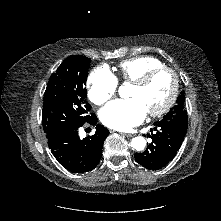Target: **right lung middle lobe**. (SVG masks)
<instances>
[{
    "mask_svg": "<svg viewBox=\"0 0 221 221\" xmlns=\"http://www.w3.org/2000/svg\"><path fill=\"white\" fill-rule=\"evenodd\" d=\"M90 59L66 58L48 81L43 98L42 123L47 137L84 124L93 115L86 101Z\"/></svg>",
    "mask_w": 221,
    "mask_h": 221,
    "instance_id": "obj_1",
    "label": "right lung middle lobe"
}]
</instances>
